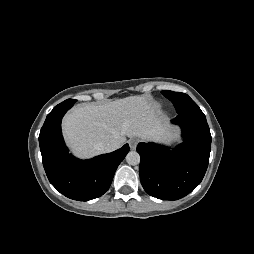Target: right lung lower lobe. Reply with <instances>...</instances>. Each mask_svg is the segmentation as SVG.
I'll use <instances>...</instances> for the list:
<instances>
[{
  "instance_id": "98d812e1",
  "label": "right lung lower lobe",
  "mask_w": 254,
  "mask_h": 254,
  "mask_svg": "<svg viewBox=\"0 0 254 254\" xmlns=\"http://www.w3.org/2000/svg\"><path fill=\"white\" fill-rule=\"evenodd\" d=\"M75 102L68 99L53 108L41 128L39 145L50 183L70 199L88 201L109 189L118 165L129 152V145L90 160L73 157L64 144L61 120Z\"/></svg>"
}]
</instances>
